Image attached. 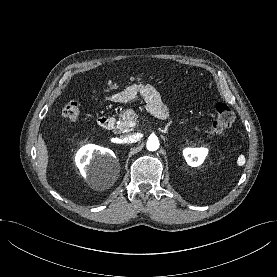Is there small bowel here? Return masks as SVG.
<instances>
[{
    "label": "small bowel",
    "mask_w": 277,
    "mask_h": 277,
    "mask_svg": "<svg viewBox=\"0 0 277 277\" xmlns=\"http://www.w3.org/2000/svg\"><path fill=\"white\" fill-rule=\"evenodd\" d=\"M141 96L147 103L148 109L158 118H166L168 107L163 102L158 91L150 84H132L123 90L106 96L102 102H128L137 96Z\"/></svg>",
    "instance_id": "1"
}]
</instances>
